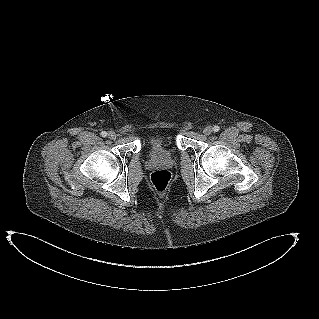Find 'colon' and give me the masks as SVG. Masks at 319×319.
Segmentation results:
<instances>
[{
    "label": "colon",
    "instance_id": "1",
    "mask_svg": "<svg viewBox=\"0 0 319 319\" xmlns=\"http://www.w3.org/2000/svg\"><path fill=\"white\" fill-rule=\"evenodd\" d=\"M150 180L158 192H165L171 183L172 174L167 169H157L152 172Z\"/></svg>",
    "mask_w": 319,
    "mask_h": 319
}]
</instances>
